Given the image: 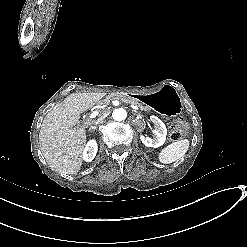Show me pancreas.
Here are the masks:
<instances>
[{
	"label": "pancreas",
	"mask_w": 247,
	"mask_h": 247,
	"mask_svg": "<svg viewBox=\"0 0 247 247\" xmlns=\"http://www.w3.org/2000/svg\"><path fill=\"white\" fill-rule=\"evenodd\" d=\"M117 96V99L124 100L126 103L133 104L139 107L144 112L149 111V105L146 102H142L141 100H137L136 98H132L131 96L124 94V93H111L110 95H106L104 99L101 100V103H104L109 98L114 100Z\"/></svg>",
	"instance_id": "pancreas-1"
}]
</instances>
